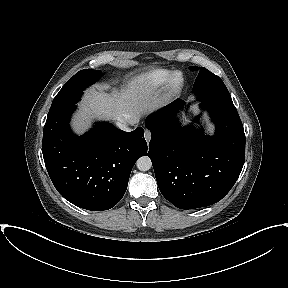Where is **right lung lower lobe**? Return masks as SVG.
Listing matches in <instances>:
<instances>
[{"label": "right lung lower lobe", "instance_id": "98d812e1", "mask_svg": "<svg viewBox=\"0 0 288 288\" xmlns=\"http://www.w3.org/2000/svg\"><path fill=\"white\" fill-rule=\"evenodd\" d=\"M75 108L47 117L42 141L45 166L66 200L87 210H108L122 199L136 160L147 154L144 130L124 132L105 122L78 137L69 127Z\"/></svg>", "mask_w": 288, "mask_h": 288}]
</instances>
